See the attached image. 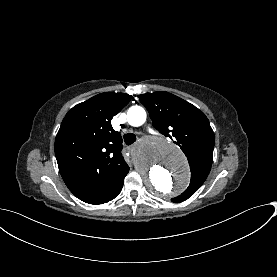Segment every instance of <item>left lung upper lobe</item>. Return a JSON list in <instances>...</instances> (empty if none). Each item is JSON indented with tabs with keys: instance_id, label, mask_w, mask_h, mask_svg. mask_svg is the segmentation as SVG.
<instances>
[{
	"instance_id": "obj_1",
	"label": "left lung upper lobe",
	"mask_w": 277,
	"mask_h": 277,
	"mask_svg": "<svg viewBox=\"0 0 277 277\" xmlns=\"http://www.w3.org/2000/svg\"><path fill=\"white\" fill-rule=\"evenodd\" d=\"M153 126L169 137L186 155L191 180L186 191L172 201L191 197L206 180L212 165L214 133L205 114L189 102L168 92L138 95Z\"/></svg>"
}]
</instances>
